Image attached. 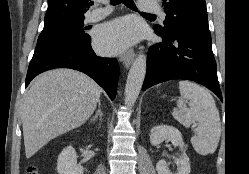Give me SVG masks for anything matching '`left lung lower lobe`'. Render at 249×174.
Wrapping results in <instances>:
<instances>
[{
    "instance_id": "left-lung-lower-lobe-1",
    "label": "left lung lower lobe",
    "mask_w": 249,
    "mask_h": 174,
    "mask_svg": "<svg viewBox=\"0 0 249 174\" xmlns=\"http://www.w3.org/2000/svg\"><path fill=\"white\" fill-rule=\"evenodd\" d=\"M156 34L163 38V42L152 44L148 49L142 89L167 80L186 79L204 85L222 101L211 35L186 34L168 38Z\"/></svg>"
}]
</instances>
